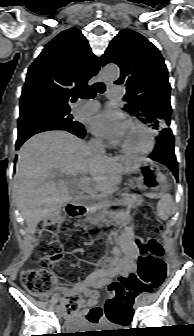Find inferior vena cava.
<instances>
[{
    "label": "inferior vena cava",
    "instance_id": "inferior-vena-cava-1",
    "mask_svg": "<svg viewBox=\"0 0 194 336\" xmlns=\"http://www.w3.org/2000/svg\"><path fill=\"white\" fill-rule=\"evenodd\" d=\"M88 148L95 154L104 155L105 147L101 140L95 139L88 143Z\"/></svg>",
    "mask_w": 194,
    "mask_h": 336
}]
</instances>
